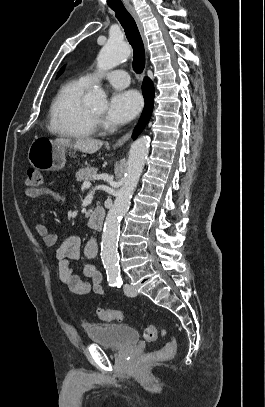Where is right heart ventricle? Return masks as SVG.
Wrapping results in <instances>:
<instances>
[{
    "mask_svg": "<svg viewBox=\"0 0 265 407\" xmlns=\"http://www.w3.org/2000/svg\"><path fill=\"white\" fill-rule=\"evenodd\" d=\"M87 86L80 79L68 81L61 86L49 110L48 129L51 133L78 139L94 134L89 110L82 102Z\"/></svg>",
    "mask_w": 265,
    "mask_h": 407,
    "instance_id": "obj_1",
    "label": "right heart ventricle"
}]
</instances>
